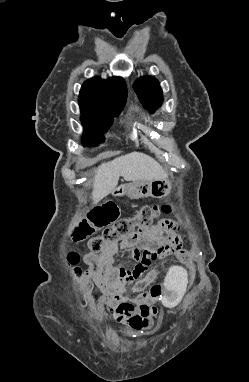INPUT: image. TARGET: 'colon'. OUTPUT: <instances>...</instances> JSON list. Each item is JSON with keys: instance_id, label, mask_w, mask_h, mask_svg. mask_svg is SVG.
Masks as SVG:
<instances>
[{"instance_id": "obj_1", "label": "colon", "mask_w": 249, "mask_h": 382, "mask_svg": "<svg viewBox=\"0 0 249 382\" xmlns=\"http://www.w3.org/2000/svg\"><path fill=\"white\" fill-rule=\"evenodd\" d=\"M171 211L172 207L168 204L149 205L142 207L133 217L115 222L119 214L118 207L115 203L108 202L94 209L87 216L80 218L75 223L71 231V236L75 240H82L91 235L95 230L105 228L102 235L93 237L88 242L89 249L93 252H97L101 251L102 248L108 244L133 238L137 231L151 227L156 218L161 214ZM138 250L142 251V260L136 262L131 269L127 270L128 275L135 279L141 278L146 273L148 267L157 258L167 253L158 246L157 248L138 247ZM176 256L179 260L184 262L189 260L188 252L182 248L177 250ZM79 259V254L76 252H71L67 256L69 265L73 267H76ZM75 273L81 274V270L75 268ZM142 280L145 282H153V273L143 276ZM150 295L154 299H161L162 295H164L163 286L161 284H154L151 287ZM152 313H157L156 308Z\"/></svg>"}]
</instances>
